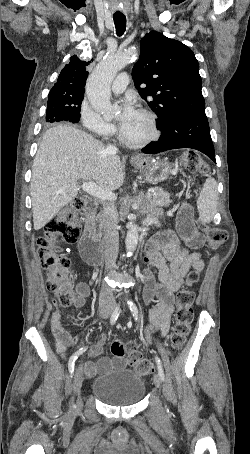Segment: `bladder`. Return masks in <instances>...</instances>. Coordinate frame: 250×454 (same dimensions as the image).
<instances>
[{
  "mask_svg": "<svg viewBox=\"0 0 250 454\" xmlns=\"http://www.w3.org/2000/svg\"><path fill=\"white\" fill-rule=\"evenodd\" d=\"M91 392L107 405H134L145 395L146 381L138 372L120 367L93 380Z\"/></svg>",
  "mask_w": 250,
  "mask_h": 454,
  "instance_id": "bladder-1",
  "label": "bladder"
}]
</instances>
